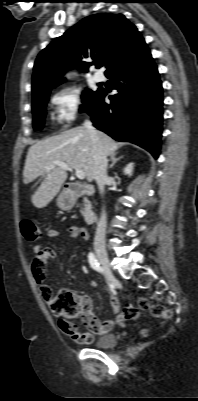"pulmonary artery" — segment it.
<instances>
[{
  "label": "pulmonary artery",
  "instance_id": "e3ab8cb5",
  "mask_svg": "<svg viewBox=\"0 0 198 401\" xmlns=\"http://www.w3.org/2000/svg\"><path fill=\"white\" fill-rule=\"evenodd\" d=\"M93 79H94L95 82L100 83V82H102L104 80V76H103L102 73L97 71V72L94 73Z\"/></svg>",
  "mask_w": 198,
  "mask_h": 401
}]
</instances>
